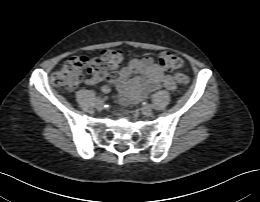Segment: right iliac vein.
I'll return each instance as SVG.
<instances>
[{
  "label": "right iliac vein",
  "instance_id": "right-iliac-vein-1",
  "mask_svg": "<svg viewBox=\"0 0 260 202\" xmlns=\"http://www.w3.org/2000/svg\"><path fill=\"white\" fill-rule=\"evenodd\" d=\"M96 106H97V109H98V110H103V108H104V102H103V101H98Z\"/></svg>",
  "mask_w": 260,
  "mask_h": 202
}]
</instances>
